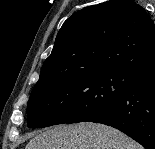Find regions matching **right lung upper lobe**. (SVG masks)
Here are the masks:
<instances>
[{"label": "right lung upper lobe", "instance_id": "obj_1", "mask_svg": "<svg viewBox=\"0 0 155 149\" xmlns=\"http://www.w3.org/2000/svg\"><path fill=\"white\" fill-rule=\"evenodd\" d=\"M115 70L141 75L155 71V24L131 0H110L69 17L38 82L64 74Z\"/></svg>", "mask_w": 155, "mask_h": 149}]
</instances>
